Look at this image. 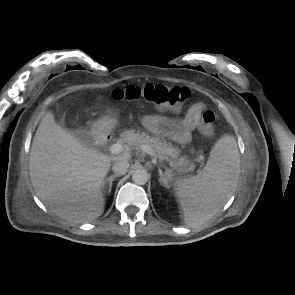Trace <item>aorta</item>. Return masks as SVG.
I'll return each instance as SVG.
<instances>
[{"label": "aorta", "instance_id": "1", "mask_svg": "<svg viewBox=\"0 0 295 295\" xmlns=\"http://www.w3.org/2000/svg\"><path fill=\"white\" fill-rule=\"evenodd\" d=\"M148 172L147 170L140 168L133 172L132 174V180L134 183L139 185H144L148 181Z\"/></svg>", "mask_w": 295, "mask_h": 295}]
</instances>
